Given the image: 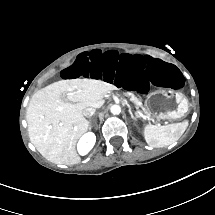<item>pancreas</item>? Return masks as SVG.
I'll list each match as a JSON object with an SVG mask.
<instances>
[{
  "mask_svg": "<svg viewBox=\"0 0 215 215\" xmlns=\"http://www.w3.org/2000/svg\"><path fill=\"white\" fill-rule=\"evenodd\" d=\"M130 100L133 104H135L136 109L142 110L143 104L141 102V99L139 97H137L135 93H132L130 95ZM143 112H144V114H148V111H143Z\"/></svg>",
  "mask_w": 215,
  "mask_h": 215,
  "instance_id": "cf45deb5",
  "label": "pancreas"
}]
</instances>
